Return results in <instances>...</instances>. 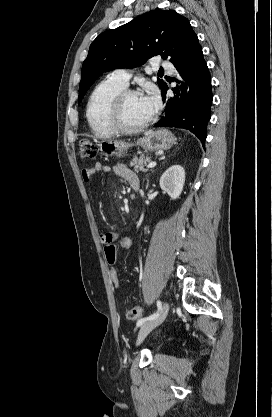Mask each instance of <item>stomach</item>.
Segmentation results:
<instances>
[{
  "instance_id": "stomach-1",
  "label": "stomach",
  "mask_w": 272,
  "mask_h": 417,
  "mask_svg": "<svg viewBox=\"0 0 272 417\" xmlns=\"http://www.w3.org/2000/svg\"><path fill=\"white\" fill-rule=\"evenodd\" d=\"M175 142L176 138L170 131L159 129L146 133L136 142V145L146 151H159L170 149ZM131 146L132 144L115 140H104L99 143L100 150L107 156H120Z\"/></svg>"
}]
</instances>
